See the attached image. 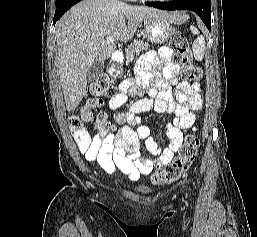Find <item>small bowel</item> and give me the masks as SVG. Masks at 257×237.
I'll return each mask as SVG.
<instances>
[{
  "label": "small bowel",
  "mask_w": 257,
  "mask_h": 237,
  "mask_svg": "<svg viewBox=\"0 0 257 237\" xmlns=\"http://www.w3.org/2000/svg\"><path fill=\"white\" fill-rule=\"evenodd\" d=\"M172 51L162 47L158 51L145 53L137 65V75L124 79L117 93L109 101V108L116 110L122 107L130 94H141L147 91L150 98H140L133 102L125 112H117L115 122L121 125L116 136L91 139L90 145L83 148L74 136L79 150L93 166L99 165L107 174H125L131 181L148 175L156 166L168 164L181 148L185 133L196 121L195 111L202 108V94L199 86L191 82H181L173 93L171 85L176 84L179 66L171 62ZM154 68L156 73L151 72ZM154 111L174 114L171 123L165 124L168 144L159 146L150 137L148 126L137 114ZM88 106L82 109V119L91 120ZM129 125L136 126L132 129ZM145 142L148 154L140 152V143Z\"/></svg>",
  "instance_id": "c3829d8e"
}]
</instances>
